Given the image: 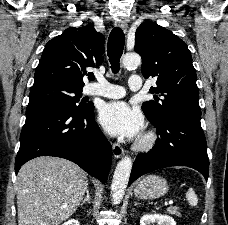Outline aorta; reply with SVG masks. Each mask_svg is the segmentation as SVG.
<instances>
[{
    "instance_id": "aorta-1",
    "label": "aorta",
    "mask_w": 228,
    "mask_h": 225,
    "mask_svg": "<svg viewBox=\"0 0 228 225\" xmlns=\"http://www.w3.org/2000/svg\"><path fill=\"white\" fill-rule=\"evenodd\" d=\"M122 64L125 68H137L141 64V56L137 52H127L122 58ZM132 161L130 157H122L119 161L113 175L111 185V195L113 205H119L128 185Z\"/></svg>"
}]
</instances>
